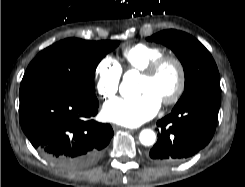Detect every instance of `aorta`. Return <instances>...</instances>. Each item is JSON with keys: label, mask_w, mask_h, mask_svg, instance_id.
<instances>
[{"label": "aorta", "mask_w": 245, "mask_h": 187, "mask_svg": "<svg viewBox=\"0 0 245 187\" xmlns=\"http://www.w3.org/2000/svg\"><path fill=\"white\" fill-rule=\"evenodd\" d=\"M119 91L126 100L133 101L140 97L137 79L130 77L127 73L123 77ZM139 140L143 145L150 146L155 143L156 135L151 129H144L140 132Z\"/></svg>", "instance_id": "aorta-1"}]
</instances>
